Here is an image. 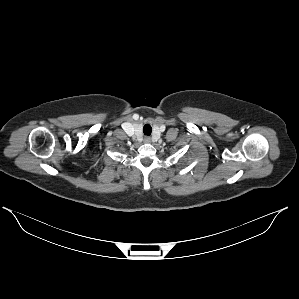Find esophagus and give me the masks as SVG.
<instances>
[{
	"label": "esophagus",
	"instance_id": "1",
	"mask_svg": "<svg viewBox=\"0 0 299 299\" xmlns=\"http://www.w3.org/2000/svg\"><path fill=\"white\" fill-rule=\"evenodd\" d=\"M144 142L145 143H150L151 142V138L149 136H145Z\"/></svg>",
	"mask_w": 299,
	"mask_h": 299
}]
</instances>
